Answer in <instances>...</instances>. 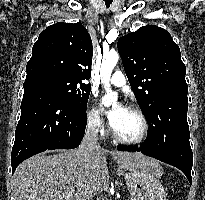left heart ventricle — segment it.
I'll return each instance as SVG.
<instances>
[{
    "instance_id": "b2bd125f",
    "label": "left heart ventricle",
    "mask_w": 205,
    "mask_h": 200,
    "mask_svg": "<svg viewBox=\"0 0 205 200\" xmlns=\"http://www.w3.org/2000/svg\"><path fill=\"white\" fill-rule=\"evenodd\" d=\"M112 127L122 137L135 138L141 132L142 123L136 113L124 108L120 111Z\"/></svg>"
}]
</instances>
